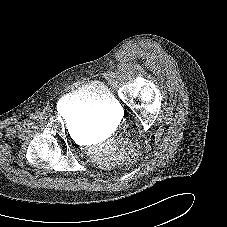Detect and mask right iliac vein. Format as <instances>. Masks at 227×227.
Instances as JSON below:
<instances>
[{
  "label": "right iliac vein",
  "instance_id": "1",
  "mask_svg": "<svg viewBox=\"0 0 227 227\" xmlns=\"http://www.w3.org/2000/svg\"><path fill=\"white\" fill-rule=\"evenodd\" d=\"M38 118H39V119H43V118H44V114H43V113H39V114H38Z\"/></svg>",
  "mask_w": 227,
  "mask_h": 227
}]
</instances>
